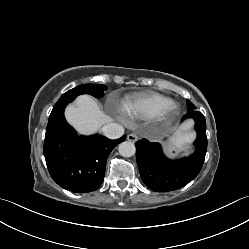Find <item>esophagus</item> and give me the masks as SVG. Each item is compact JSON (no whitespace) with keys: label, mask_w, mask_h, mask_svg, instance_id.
I'll return each instance as SVG.
<instances>
[{"label":"esophagus","mask_w":249,"mask_h":249,"mask_svg":"<svg viewBox=\"0 0 249 249\" xmlns=\"http://www.w3.org/2000/svg\"><path fill=\"white\" fill-rule=\"evenodd\" d=\"M127 139L131 142H136L138 140V136L136 133H130L128 136H127Z\"/></svg>","instance_id":"1"}]
</instances>
